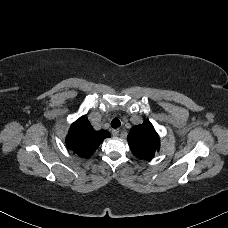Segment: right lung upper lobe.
<instances>
[{
    "instance_id": "obj_1",
    "label": "right lung upper lobe",
    "mask_w": 228,
    "mask_h": 228,
    "mask_svg": "<svg viewBox=\"0 0 228 228\" xmlns=\"http://www.w3.org/2000/svg\"><path fill=\"white\" fill-rule=\"evenodd\" d=\"M107 137H110L108 131H95L87 117L82 116L71 125L66 145L78 156L85 158L91 156Z\"/></svg>"
}]
</instances>
